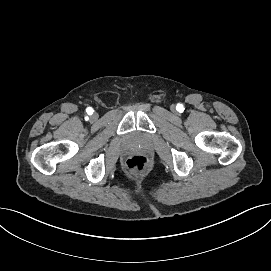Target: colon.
<instances>
[{
  "label": "colon",
  "mask_w": 271,
  "mask_h": 271,
  "mask_svg": "<svg viewBox=\"0 0 271 271\" xmlns=\"http://www.w3.org/2000/svg\"><path fill=\"white\" fill-rule=\"evenodd\" d=\"M148 159L145 156L142 155H136L130 157L126 161V168L133 173H142L144 172L148 167Z\"/></svg>",
  "instance_id": "1"
}]
</instances>
